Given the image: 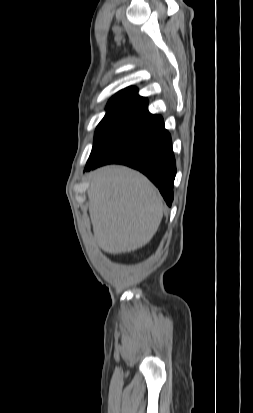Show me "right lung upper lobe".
I'll return each instance as SVG.
<instances>
[{"label":"right lung upper lobe","mask_w":253,"mask_h":413,"mask_svg":"<svg viewBox=\"0 0 253 413\" xmlns=\"http://www.w3.org/2000/svg\"><path fill=\"white\" fill-rule=\"evenodd\" d=\"M135 87H128L115 94L107 104V112L127 111L142 114L149 117H158L148 111V100L138 95Z\"/></svg>","instance_id":"1"}]
</instances>
